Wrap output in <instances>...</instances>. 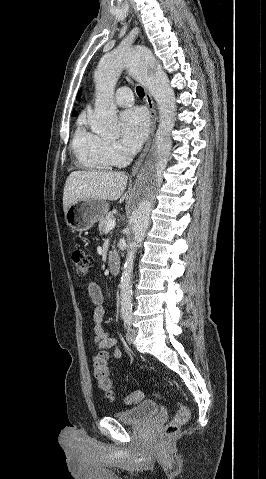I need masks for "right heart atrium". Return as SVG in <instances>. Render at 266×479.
<instances>
[{
  "label": "right heart atrium",
  "mask_w": 266,
  "mask_h": 479,
  "mask_svg": "<svg viewBox=\"0 0 266 479\" xmlns=\"http://www.w3.org/2000/svg\"><path fill=\"white\" fill-rule=\"evenodd\" d=\"M102 150L115 166H122L129 160L127 151L115 140L103 139Z\"/></svg>",
  "instance_id": "right-heart-atrium-1"
}]
</instances>
